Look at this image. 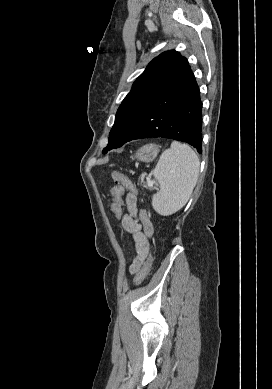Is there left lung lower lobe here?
Listing matches in <instances>:
<instances>
[{
  "instance_id": "1",
  "label": "left lung lower lobe",
  "mask_w": 272,
  "mask_h": 389,
  "mask_svg": "<svg viewBox=\"0 0 272 389\" xmlns=\"http://www.w3.org/2000/svg\"><path fill=\"white\" fill-rule=\"evenodd\" d=\"M201 127L199 87L188 65L151 100L140 123L125 143L162 137L186 142L202 153Z\"/></svg>"
}]
</instances>
